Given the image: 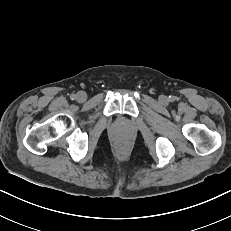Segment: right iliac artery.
I'll use <instances>...</instances> for the list:
<instances>
[{"label": "right iliac artery", "mask_w": 231, "mask_h": 231, "mask_svg": "<svg viewBox=\"0 0 231 231\" xmlns=\"http://www.w3.org/2000/svg\"><path fill=\"white\" fill-rule=\"evenodd\" d=\"M70 98H71L72 100H74V99L76 98V95H75V94H72V95L70 96Z\"/></svg>", "instance_id": "82829eb1"}]
</instances>
